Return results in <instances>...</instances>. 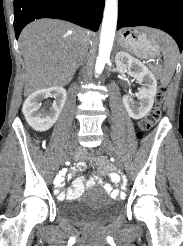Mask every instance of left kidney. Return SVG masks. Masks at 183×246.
<instances>
[{"label":"left kidney","instance_id":"left-kidney-1","mask_svg":"<svg viewBox=\"0 0 183 246\" xmlns=\"http://www.w3.org/2000/svg\"><path fill=\"white\" fill-rule=\"evenodd\" d=\"M116 68L120 74L128 72L138 83L142 84L135 95L128 93L123 96V104L129 116L141 119L151 110L157 92V81L153 73L140 60L132 57L125 51H120L115 56ZM136 96L138 101H134Z\"/></svg>","mask_w":183,"mask_h":246}]
</instances>
